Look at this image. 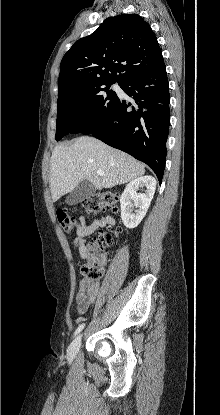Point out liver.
Here are the masks:
<instances>
[{"label":"liver","instance_id":"obj_1","mask_svg":"<svg viewBox=\"0 0 220 415\" xmlns=\"http://www.w3.org/2000/svg\"><path fill=\"white\" fill-rule=\"evenodd\" d=\"M102 171L104 176L97 175ZM145 174V166L130 155L93 137L56 146L51 156L49 185L53 202L89 180L98 190L125 184Z\"/></svg>","mask_w":220,"mask_h":415}]
</instances>
